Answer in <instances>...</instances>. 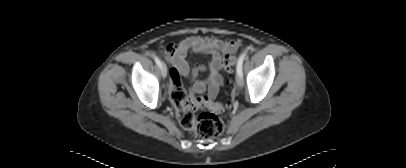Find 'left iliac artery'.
I'll return each instance as SVG.
<instances>
[{
  "instance_id": "44dca946",
  "label": "left iliac artery",
  "mask_w": 406,
  "mask_h": 168,
  "mask_svg": "<svg viewBox=\"0 0 406 168\" xmlns=\"http://www.w3.org/2000/svg\"><path fill=\"white\" fill-rule=\"evenodd\" d=\"M245 57H246V53H243V54L239 57L238 62H237V67H236L237 74H239V75H241V76H243L242 66H243V61H244Z\"/></svg>"
}]
</instances>
